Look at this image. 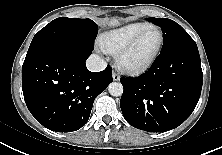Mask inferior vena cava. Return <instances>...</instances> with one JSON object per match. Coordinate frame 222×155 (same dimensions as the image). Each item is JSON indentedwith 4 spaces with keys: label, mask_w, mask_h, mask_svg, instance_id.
Here are the masks:
<instances>
[{
    "label": "inferior vena cava",
    "mask_w": 222,
    "mask_h": 155,
    "mask_svg": "<svg viewBox=\"0 0 222 155\" xmlns=\"http://www.w3.org/2000/svg\"><path fill=\"white\" fill-rule=\"evenodd\" d=\"M86 66L91 72H99L106 68V62L96 54H92L86 61Z\"/></svg>",
    "instance_id": "obj_1"
}]
</instances>
